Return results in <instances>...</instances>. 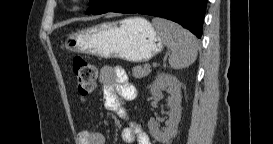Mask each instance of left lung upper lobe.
Here are the masks:
<instances>
[{
    "label": "left lung upper lobe",
    "mask_w": 273,
    "mask_h": 144,
    "mask_svg": "<svg viewBox=\"0 0 273 144\" xmlns=\"http://www.w3.org/2000/svg\"><path fill=\"white\" fill-rule=\"evenodd\" d=\"M108 0H91L90 8L86 11V14H95L100 11Z\"/></svg>",
    "instance_id": "obj_1"
}]
</instances>
